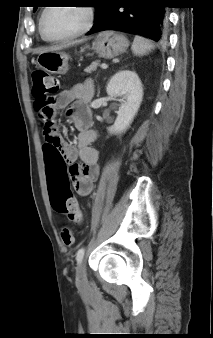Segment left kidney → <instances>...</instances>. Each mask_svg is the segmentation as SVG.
<instances>
[{
  "label": "left kidney",
  "mask_w": 213,
  "mask_h": 338,
  "mask_svg": "<svg viewBox=\"0 0 213 338\" xmlns=\"http://www.w3.org/2000/svg\"><path fill=\"white\" fill-rule=\"evenodd\" d=\"M110 97H120L121 106L114 124L108 128L110 133H122L132 123L143 99V88L137 73L120 70L113 75L106 88Z\"/></svg>",
  "instance_id": "1"
}]
</instances>
